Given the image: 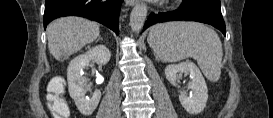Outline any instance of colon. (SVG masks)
<instances>
[{
    "instance_id": "obj_1",
    "label": "colon",
    "mask_w": 273,
    "mask_h": 118,
    "mask_svg": "<svg viewBox=\"0 0 273 118\" xmlns=\"http://www.w3.org/2000/svg\"><path fill=\"white\" fill-rule=\"evenodd\" d=\"M62 87L59 82L54 81L50 85V94L47 97L49 109L58 118H66L69 115V108L62 94Z\"/></svg>"
}]
</instances>
